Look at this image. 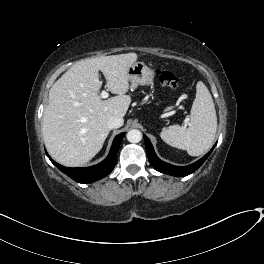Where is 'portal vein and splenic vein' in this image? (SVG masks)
<instances>
[{
    "mask_svg": "<svg viewBox=\"0 0 264 264\" xmlns=\"http://www.w3.org/2000/svg\"><path fill=\"white\" fill-rule=\"evenodd\" d=\"M109 96L108 92L103 90L102 93H101V98H107ZM188 123V120H186V124Z\"/></svg>",
    "mask_w": 264,
    "mask_h": 264,
    "instance_id": "portal-vein-and-splenic-vein-1",
    "label": "portal vein and splenic vein"
}]
</instances>
